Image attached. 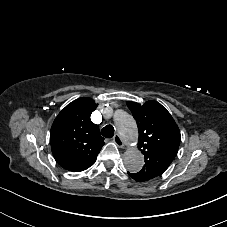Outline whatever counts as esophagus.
<instances>
[{
  "instance_id": "34e87169",
  "label": "esophagus",
  "mask_w": 227,
  "mask_h": 227,
  "mask_svg": "<svg viewBox=\"0 0 227 227\" xmlns=\"http://www.w3.org/2000/svg\"><path fill=\"white\" fill-rule=\"evenodd\" d=\"M113 141L115 142V144L120 147V148H123L125 147V142L122 140V138L120 137L119 134H115L114 137H113Z\"/></svg>"
}]
</instances>
